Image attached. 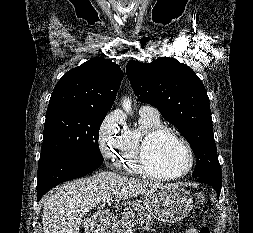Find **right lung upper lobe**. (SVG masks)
<instances>
[{
  "instance_id": "cb5924a9",
  "label": "right lung upper lobe",
  "mask_w": 253,
  "mask_h": 233,
  "mask_svg": "<svg viewBox=\"0 0 253 233\" xmlns=\"http://www.w3.org/2000/svg\"><path fill=\"white\" fill-rule=\"evenodd\" d=\"M123 78L114 62L97 57L73 68L56 84L49 106H80L109 111Z\"/></svg>"
}]
</instances>
